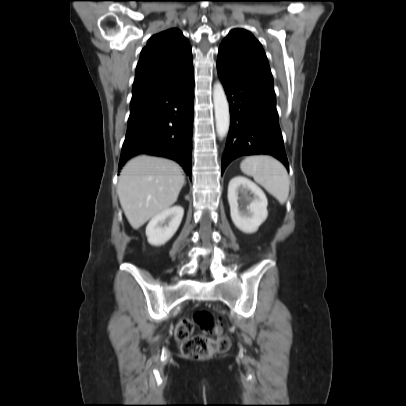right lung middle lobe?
<instances>
[{"label":"right lung middle lobe","instance_id":"obj_1","mask_svg":"<svg viewBox=\"0 0 406 406\" xmlns=\"http://www.w3.org/2000/svg\"><path fill=\"white\" fill-rule=\"evenodd\" d=\"M134 117H135V114H134V112L131 110V113H130V117H129L128 122L131 121V120H133Z\"/></svg>","mask_w":406,"mask_h":406}]
</instances>
